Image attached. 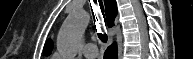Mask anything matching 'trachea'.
Instances as JSON below:
<instances>
[{
	"label": "trachea",
	"instance_id": "trachea-1",
	"mask_svg": "<svg viewBox=\"0 0 193 59\" xmlns=\"http://www.w3.org/2000/svg\"><path fill=\"white\" fill-rule=\"evenodd\" d=\"M99 6H100V9H99ZM99 6L98 4L96 5V9H95V13H96V19L98 21L99 19V25H100V29H101V32H100V29H99V33H98V38L102 41V42H106L107 41V34L105 32V28H104V24H103V19H102V16L105 20V14H104V6H103V3L102 1H99ZM92 10V8H91ZM92 14H93V17L95 18L94 16V13H93V10H92ZM102 14V15H101ZM106 25V23H105ZM96 27V26H95Z\"/></svg>",
	"mask_w": 193,
	"mask_h": 59
}]
</instances>
